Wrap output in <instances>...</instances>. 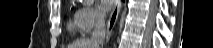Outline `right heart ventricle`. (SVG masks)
<instances>
[{
    "mask_svg": "<svg viewBox=\"0 0 213 48\" xmlns=\"http://www.w3.org/2000/svg\"><path fill=\"white\" fill-rule=\"evenodd\" d=\"M68 30L70 32H76L78 30L76 15H74L73 18L69 20Z\"/></svg>",
    "mask_w": 213,
    "mask_h": 48,
    "instance_id": "1",
    "label": "right heart ventricle"
}]
</instances>
